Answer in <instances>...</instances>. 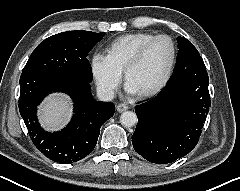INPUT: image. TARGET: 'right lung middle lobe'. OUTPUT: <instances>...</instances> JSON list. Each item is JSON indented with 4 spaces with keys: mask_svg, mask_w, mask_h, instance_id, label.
Masks as SVG:
<instances>
[{
    "mask_svg": "<svg viewBox=\"0 0 240 191\" xmlns=\"http://www.w3.org/2000/svg\"><path fill=\"white\" fill-rule=\"evenodd\" d=\"M104 35L84 30L53 35L32 52L22 75L57 72L90 83L92 70L87 55Z\"/></svg>",
    "mask_w": 240,
    "mask_h": 191,
    "instance_id": "right-lung-middle-lobe-1",
    "label": "right lung middle lobe"
}]
</instances>
